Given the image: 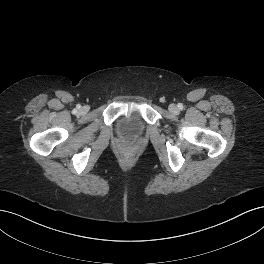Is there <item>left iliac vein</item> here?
I'll return each mask as SVG.
<instances>
[{"label": "left iliac vein", "instance_id": "1", "mask_svg": "<svg viewBox=\"0 0 264 264\" xmlns=\"http://www.w3.org/2000/svg\"><path fill=\"white\" fill-rule=\"evenodd\" d=\"M169 110L172 113H177L178 112V108H177V106L175 104L169 105Z\"/></svg>", "mask_w": 264, "mask_h": 264}]
</instances>
